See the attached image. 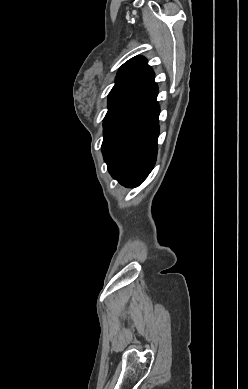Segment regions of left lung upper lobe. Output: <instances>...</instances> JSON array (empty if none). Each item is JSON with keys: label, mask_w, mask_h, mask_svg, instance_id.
I'll list each match as a JSON object with an SVG mask.
<instances>
[{"label": "left lung upper lobe", "mask_w": 248, "mask_h": 389, "mask_svg": "<svg viewBox=\"0 0 248 389\" xmlns=\"http://www.w3.org/2000/svg\"><path fill=\"white\" fill-rule=\"evenodd\" d=\"M149 68L150 66L147 64L146 59L142 56L133 57L123 64L117 73L115 85L108 95V102L127 88Z\"/></svg>", "instance_id": "1"}]
</instances>
